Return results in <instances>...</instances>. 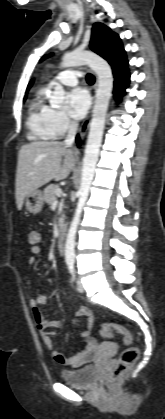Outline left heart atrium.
<instances>
[{
	"label": "left heart atrium",
	"mask_w": 165,
	"mask_h": 419,
	"mask_svg": "<svg viewBox=\"0 0 165 419\" xmlns=\"http://www.w3.org/2000/svg\"><path fill=\"white\" fill-rule=\"evenodd\" d=\"M69 115L74 119H82L90 105V98L86 90L75 88L68 93Z\"/></svg>",
	"instance_id": "left-heart-atrium-1"
}]
</instances>
